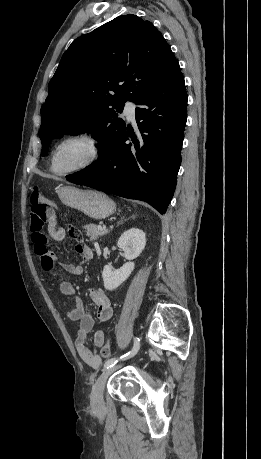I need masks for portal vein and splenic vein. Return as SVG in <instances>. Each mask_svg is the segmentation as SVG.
<instances>
[{
  "instance_id": "18ae733b",
  "label": "portal vein and splenic vein",
  "mask_w": 261,
  "mask_h": 459,
  "mask_svg": "<svg viewBox=\"0 0 261 459\" xmlns=\"http://www.w3.org/2000/svg\"><path fill=\"white\" fill-rule=\"evenodd\" d=\"M98 229L107 231L106 227H102L101 225L98 226Z\"/></svg>"
}]
</instances>
